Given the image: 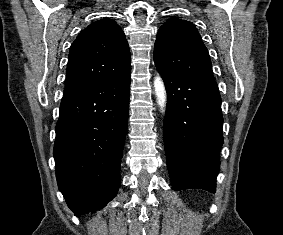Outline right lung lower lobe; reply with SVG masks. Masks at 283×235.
<instances>
[{
    "mask_svg": "<svg viewBox=\"0 0 283 235\" xmlns=\"http://www.w3.org/2000/svg\"><path fill=\"white\" fill-rule=\"evenodd\" d=\"M130 76L63 95L53 155L59 190L76 216L102 209L119 189Z\"/></svg>",
    "mask_w": 283,
    "mask_h": 235,
    "instance_id": "1",
    "label": "right lung lower lobe"
}]
</instances>
